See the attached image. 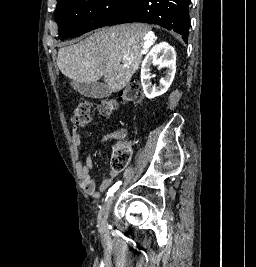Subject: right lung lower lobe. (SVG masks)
I'll use <instances>...</instances> for the list:
<instances>
[{"label": "right lung lower lobe", "instance_id": "right-lung-lower-lobe-1", "mask_svg": "<svg viewBox=\"0 0 256 267\" xmlns=\"http://www.w3.org/2000/svg\"><path fill=\"white\" fill-rule=\"evenodd\" d=\"M191 0H138L129 13L120 14L104 26L130 22L158 24L182 35L187 43Z\"/></svg>", "mask_w": 256, "mask_h": 267}]
</instances>
